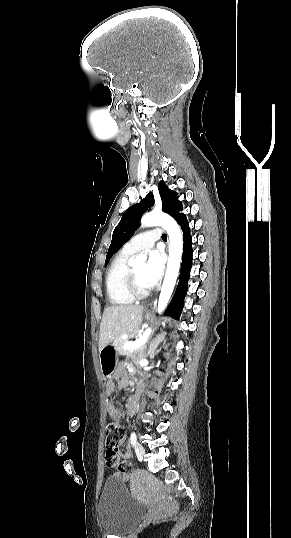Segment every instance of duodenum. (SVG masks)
Instances as JSON below:
<instances>
[{"label": "duodenum", "instance_id": "1", "mask_svg": "<svg viewBox=\"0 0 291 538\" xmlns=\"http://www.w3.org/2000/svg\"><path fill=\"white\" fill-rule=\"evenodd\" d=\"M140 377H143V374H140L139 372L134 374L133 381L135 382V387L141 388L143 386L142 379H140Z\"/></svg>", "mask_w": 291, "mask_h": 538}]
</instances>
